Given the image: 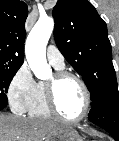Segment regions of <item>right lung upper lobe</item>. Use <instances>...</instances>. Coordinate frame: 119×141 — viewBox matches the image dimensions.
I'll return each mask as SVG.
<instances>
[{
  "instance_id": "cb5924a9",
  "label": "right lung upper lobe",
  "mask_w": 119,
  "mask_h": 141,
  "mask_svg": "<svg viewBox=\"0 0 119 141\" xmlns=\"http://www.w3.org/2000/svg\"><path fill=\"white\" fill-rule=\"evenodd\" d=\"M28 7L21 0H0V67L20 68L24 60Z\"/></svg>"
}]
</instances>
